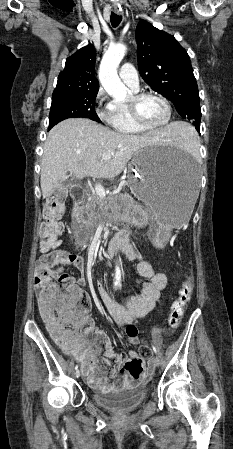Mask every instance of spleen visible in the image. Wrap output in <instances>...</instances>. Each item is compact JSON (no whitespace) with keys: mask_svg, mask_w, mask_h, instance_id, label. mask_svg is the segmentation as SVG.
Segmentation results:
<instances>
[{"mask_svg":"<svg viewBox=\"0 0 233 449\" xmlns=\"http://www.w3.org/2000/svg\"><path fill=\"white\" fill-rule=\"evenodd\" d=\"M183 125L184 134H179L178 139H176L177 141L175 142V145L186 151H194L199 146L197 135L189 124L183 123Z\"/></svg>","mask_w":233,"mask_h":449,"instance_id":"spleen-1","label":"spleen"}]
</instances>
